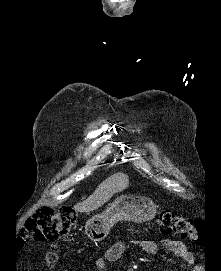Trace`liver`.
Instances as JSON below:
<instances>
[{
    "label": "liver",
    "mask_w": 221,
    "mask_h": 271,
    "mask_svg": "<svg viewBox=\"0 0 221 271\" xmlns=\"http://www.w3.org/2000/svg\"><path fill=\"white\" fill-rule=\"evenodd\" d=\"M113 185H119L122 189L125 187V185H122V181H116V179L110 181V179H105L85 201L76 203L74 209H76V211H94V209H98V207L104 205V203L112 197V193H114V191H112Z\"/></svg>",
    "instance_id": "obj_1"
}]
</instances>
